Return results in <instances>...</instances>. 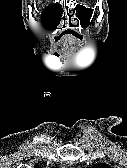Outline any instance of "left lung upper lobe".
Instances as JSON below:
<instances>
[{
    "label": "left lung upper lobe",
    "mask_w": 127,
    "mask_h": 168,
    "mask_svg": "<svg viewBox=\"0 0 127 168\" xmlns=\"http://www.w3.org/2000/svg\"><path fill=\"white\" fill-rule=\"evenodd\" d=\"M94 168H110V166L105 163H98L94 166Z\"/></svg>",
    "instance_id": "5c2ea615"
}]
</instances>
